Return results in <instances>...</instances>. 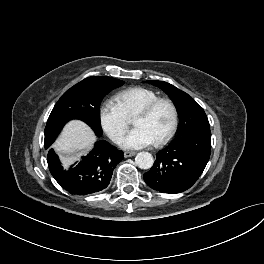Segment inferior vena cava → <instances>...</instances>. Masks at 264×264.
I'll use <instances>...</instances> for the list:
<instances>
[{
    "label": "inferior vena cava",
    "mask_w": 264,
    "mask_h": 264,
    "mask_svg": "<svg viewBox=\"0 0 264 264\" xmlns=\"http://www.w3.org/2000/svg\"><path fill=\"white\" fill-rule=\"evenodd\" d=\"M121 140H122V137L121 136H119V137L116 138V142H120Z\"/></svg>",
    "instance_id": "obj_1"
}]
</instances>
